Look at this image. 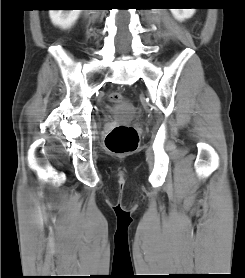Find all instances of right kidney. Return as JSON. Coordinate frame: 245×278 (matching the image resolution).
Here are the masks:
<instances>
[{"label": "right kidney", "mask_w": 245, "mask_h": 278, "mask_svg": "<svg viewBox=\"0 0 245 278\" xmlns=\"http://www.w3.org/2000/svg\"><path fill=\"white\" fill-rule=\"evenodd\" d=\"M80 12L81 10H49V16L54 25L66 29L75 23Z\"/></svg>", "instance_id": "ca27d5eb"}]
</instances>
